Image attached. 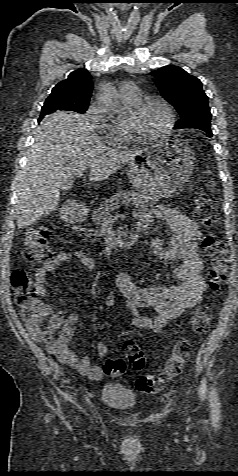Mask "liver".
Segmentation results:
<instances>
[{
	"instance_id": "obj_1",
	"label": "liver",
	"mask_w": 238,
	"mask_h": 476,
	"mask_svg": "<svg viewBox=\"0 0 238 476\" xmlns=\"http://www.w3.org/2000/svg\"><path fill=\"white\" fill-rule=\"evenodd\" d=\"M144 151L112 148L97 136L85 115H46L35 131V143L18 186V229L55 211L60 192L72 188L77 172L89 169V180L101 181Z\"/></svg>"
}]
</instances>
